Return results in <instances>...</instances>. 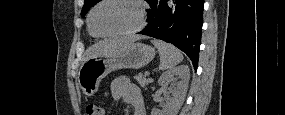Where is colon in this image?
Masks as SVG:
<instances>
[{
	"label": "colon",
	"instance_id": "1",
	"mask_svg": "<svg viewBox=\"0 0 285 115\" xmlns=\"http://www.w3.org/2000/svg\"><path fill=\"white\" fill-rule=\"evenodd\" d=\"M86 114L87 115H103L104 111L101 107L95 104H89L86 107Z\"/></svg>",
	"mask_w": 285,
	"mask_h": 115
}]
</instances>
